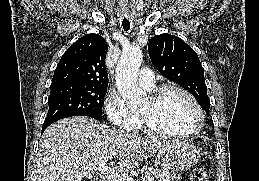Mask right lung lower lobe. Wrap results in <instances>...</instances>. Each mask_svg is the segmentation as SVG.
<instances>
[{"label":"right lung lower lobe","instance_id":"right-lung-lower-lobe-1","mask_svg":"<svg viewBox=\"0 0 259 181\" xmlns=\"http://www.w3.org/2000/svg\"><path fill=\"white\" fill-rule=\"evenodd\" d=\"M48 126H43L42 127V133L44 132V130L47 128Z\"/></svg>","mask_w":259,"mask_h":181}]
</instances>
